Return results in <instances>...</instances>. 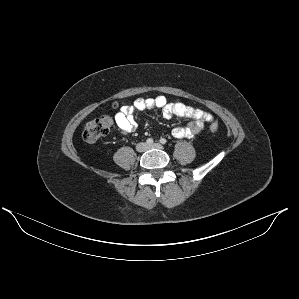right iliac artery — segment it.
<instances>
[{
  "mask_svg": "<svg viewBox=\"0 0 299 299\" xmlns=\"http://www.w3.org/2000/svg\"><path fill=\"white\" fill-rule=\"evenodd\" d=\"M153 139L152 138H148L147 140H146V143L147 144H149V145H151V144H153Z\"/></svg>",
  "mask_w": 299,
  "mask_h": 299,
  "instance_id": "right-iliac-artery-1",
  "label": "right iliac artery"
}]
</instances>
